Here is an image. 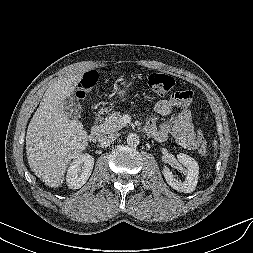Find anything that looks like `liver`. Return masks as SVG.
I'll list each match as a JSON object with an SVG mask.
<instances>
[{
    "label": "liver",
    "instance_id": "obj_1",
    "mask_svg": "<svg viewBox=\"0 0 253 253\" xmlns=\"http://www.w3.org/2000/svg\"><path fill=\"white\" fill-rule=\"evenodd\" d=\"M86 69L71 73L52 83L36 112L26 134L28 164L34 174L49 187H60L68 164L81 155L88 145L83 124L71 119L63 101L70 97Z\"/></svg>",
    "mask_w": 253,
    "mask_h": 253
}]
</instances>
